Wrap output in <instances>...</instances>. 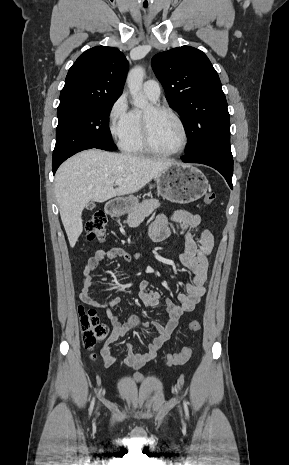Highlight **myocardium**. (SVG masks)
<instances>
[{
	"instance_id": "1",
	"label": "myocardium",
	"mask_w": 289,
	"mask_h": 465,
	"mask_svg": "<svg viewBox=\"0 0 289 465\" xmlns=\"http://www.w3.org/2000/svg\"><path fill=\"white\" fill-rule=\"evenodd\" d=\"M150 108H151V110L153 112L168 113L169 115H171L178 122V124H179V126H180V128L182 130L183 142H182V145L180 146V148L175 150V151L164 152V151H161V150L157 149L154 146L153 142H152L149 118L145 113H143L142 114V119H141L142 140H143V144H144V147L147 150V152L150 153V154H153L155 156H159V157H174V156H177V155H180L181 153H183L186 150V148L188 146V143H189V133H188L187 126H186L185 122L183 121L182 117L173 108H171L169 106H166V105L154 104Z\"/></svg>"
}]
</instances>
